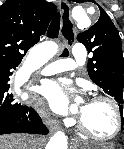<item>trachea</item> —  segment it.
I'll list each match as a JSON object with an SVG mask.
<instances>
[{"label": "trachea", "instance_id": "3493384b", "mask_svg": "<svg viewBox=\"0 0 124 149\" xmlns=\"http://www.w3.org/2000/svg\"><path fill=\"white\" fill-rule=\"evenodd\" d=\"M59 28H60V13H57L48 28L47 36L49 38H56L59 34ZM62 55L65 57L69 55L67 49H65Z\"/></svg>", "mask_w": 124, "mask_h": 149}]
</instances>
